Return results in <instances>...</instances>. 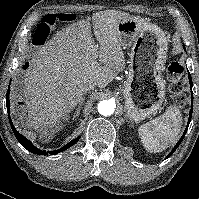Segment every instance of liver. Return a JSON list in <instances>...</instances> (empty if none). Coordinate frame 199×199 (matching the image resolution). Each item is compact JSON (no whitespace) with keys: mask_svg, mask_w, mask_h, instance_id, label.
Masks as SVG:
<instances>
[{"mask_svg":"<svg viewBox=\"0 0 199 199\" xmlns=\"http://www.w3.org/2000/svg\"><path fill=\"white\" fill-rule=\"evenodd\" d=\"M129 15L116 10L92 16L95 45L89 20H80L59 31L39 47L29 61L23 81L26 124L44 135L59 130L61 121L82 100L85 86L93 81L105 88L125 68L117 33L118 23ZM97 60L99 62H97ZM18 119L22 120V116Z\"/></svg>","mask_w":199,"mask_h":199,"instance_id":"1","label":"liver"}]
</instances>
